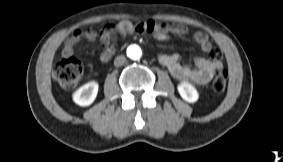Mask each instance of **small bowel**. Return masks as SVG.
<instances>
[{"mask_svg":"<svg viewBox=\"0 0 283 162\" xmlns=\"http://www.w3.org/2000/svg\"><path fill=\"white\" fill-rule=\"evenodd\" d=\"M120 35L129 34H151L154 38L160 41L167 40L170 34L185 36L189 33L188 28L182 24H165L153 20L133 23L129 20L120 21L114 30H104L99 35L94 30L75 31L65 42L63 47V56H72L74 46L82 39L94 41L99 37L100 42L104 45L100 58L103 62L111 59L114 53V47L111 44L114 34ZM194 41L201 47L202 51L209 54V57H198L194 61V67L184 65L180 62V55L161 54L159 62L166 67L170 74L179 81H190L198 85H205L210 82L214 73L222 68L221 52L213 49L209 41V37L202 31H197L192 34Z\"/></svg>","mask_w":283,"mask_h":162,"instance_id":"c3829d8e","label":"small bowel"}]
</instances>
